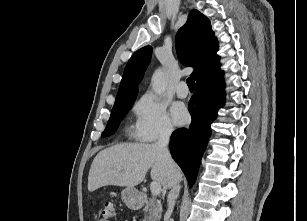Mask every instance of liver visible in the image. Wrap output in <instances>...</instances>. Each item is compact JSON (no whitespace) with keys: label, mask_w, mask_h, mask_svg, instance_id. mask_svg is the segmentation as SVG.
I'll use <instances>...</instances> for the list:
<instances>
[{"label":"liver","mask_w":307,"mask_h":221,"mask_svg":"<svg viewBox=\"0 0 307 221\" xmlns=\"http://www.w3.org/2000/svg\"><path fill=\"white\" fill-rule=\"evenodd\" d=\"M151 168V179L169 189L182 179L174 163L170 168L156 143H122L100 151L94 158L88 176V190L106 185L134 188Z\"/></svg>","instance_id":"obj_1"}]
</instances>
